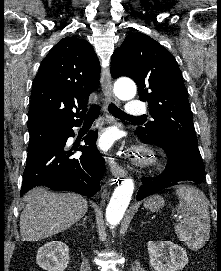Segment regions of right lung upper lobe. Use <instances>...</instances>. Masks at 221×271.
Wrapping results in <instances>:
<instances>
[{
  "instance_id": "cb5924a9",
  "label": "right lung upper lobe",
  "mask_w": 221,
  "mask_h": 271,
  "mask_svg": "<svg viewBox=\"0 0 221 271\" xmlns=\"http://www.w3.org/2000/svg\"><path fill=\"white\" fill-rule=\"evenodd\" d=\"M99 75V61L90 43L75 36L60 40L33 81L28 130L82 121L89 95L99 86Z\"/></svg>"
}]
</instances>
